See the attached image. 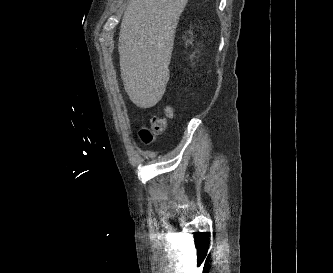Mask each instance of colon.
<instances>
[{
    "mask_svg": "<svg viewBox=\"0 0 333 273\" xmlns=\"http://www.w3.org/2000/svg\"><path fill=\"white\" fill-rule=\"evenodd\" d=\"M171 117L172 109L170 107H166L162 115L153 117L149 126L140 129L139 137L141 141L145 144L151 143L157 135H160L165 131L168 120Z\"/></svg>",
    "mask_w": 333,
    "mask_h": 273,
    "instance_id": "obj_1",
    "label": "colon"
}]
</instances>
